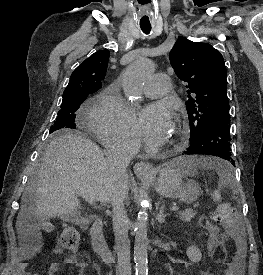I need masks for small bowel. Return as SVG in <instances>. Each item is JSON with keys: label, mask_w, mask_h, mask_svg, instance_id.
I'll return each instance as SVG.
<instances>
[{"label": "small bowel", "mask_w": 263, "mask_h": 275, "mask_svg": "<svg viewBox=\"0 0 263 275\" xmlns=\"http://www.w3.org/2000/svg\"><path fill=\"white\" fill-rule=\"evenodd\" d=\"M202 221H203L204 228L208 232L207 246H208L209 251H211L220 242L219 229L215 225H213L212 223H210L209 221H207L205 219H203ZM39 245H40L39 237L35 234L32 235L29 243L25 246V248L23 250V259L19 263L20 275H39L37 273L30 272L27 268L28 260L31 258L33 253L38 249ZM53 252L55 255L61 256L63 254V249L58 246L54 249ZM71 262H72V260L70 258H63L62 262L52 263L48 274L49 275L57 274L62 267V263H71ZM78 275H82V272H80ZM208 275H214V274L209 273Z\"/></svg>", "instance_id": "c3829d8e"}]
</instances>
